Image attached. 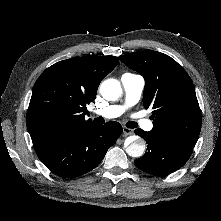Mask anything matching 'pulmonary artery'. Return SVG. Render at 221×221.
<instances>
[{"label":"pulmonary artery","instance_id":"e3ab8cb5","mask_svg":"<svg viewBox=\"0 0 221 221\" xmlns=\"http://www.w3.org/2000/svg\"><path fill=\"white\" fill-rule=\"evenodd\" d=\"M121 83L125 93L124 103L97 109L93 111L95 115L105 119L117 118L140 100L145 86V80L141 75L125 73L121 77ZM139 125L148 131L153 128V123L148 119L139 120Z\"/></svg>","mask_w":221,"mask_h":221}]
</instances>
